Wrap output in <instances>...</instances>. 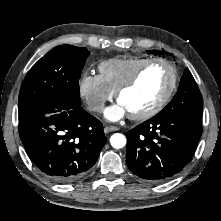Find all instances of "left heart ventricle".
<instances>
[{
	"instance_id": "obj_1",
	"label": "left heart ventricle",
	"mask_w": 221,
	"mask_h": 221,
	"mask_svg": "<svg viewBox=\"0 0 221 221\" xmlns=\"http://www.w3.org/2000/svg\"><path fill=\"white\" fill-rule=\"evenodd\" d=\"M171 73L167 66L154 63L147 67L138 81L119 98L129 114L140 113L151 106L167 90Z\"/></svg>"
}]
</instances>
